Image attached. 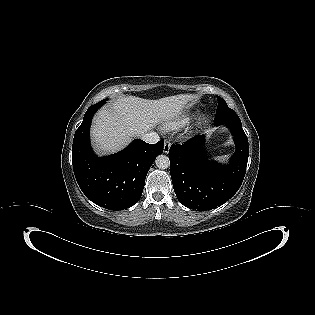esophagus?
Wrapping results in <instances>:
<instances>
[{
  "instance_id": "1",
  "label": "esophagus",
  "mask_w": 315,
  "mask_h": 315,
  "mask_svg": "<svg viewBox=\"0 0 315 315\" xmlns=\"http://www.w3.org/2000/svg\"><path fill=\"white\" fill-rule=\"evenodd\" d=\"M171 147V143L169 141H165L164 142V146H163V152L164 153H168Z\"/></svg>"
}]
</instances>
